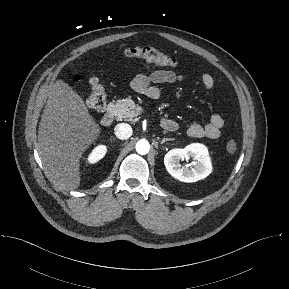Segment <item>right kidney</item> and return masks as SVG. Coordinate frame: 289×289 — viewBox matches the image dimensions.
<instances>
[{
    "label": "right kidney",
    "mask_w": 289,
    "mask_h": 289,
    "mask_svg": "<svg viewBox=\"0 0 289 289\" xmlns=\"http://www.w3.org/2000/svg\"><path fill=\"white\" fill-rule=\"evenodd\" d=\"M107 152L105 145H98L94 150L89 154L87 160L90 164H94L102 159Z\"/></svg>",
    "instance_id": "right-kidney-1"
}]
</instances>
